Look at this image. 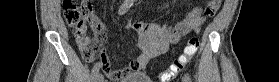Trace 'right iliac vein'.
<instances>
[{"label": "right iliac vein", "mask_w": 279, "mask_h": 82, "mask_svg": "<svg viewBox=\"0 0 279 82\" xmlns=\"http://www.w3.org/2000/svg\"><path fill=\"white\" fill-rule=\"evenodd\" d=\"M95 82H103V76L99 75Z\"/></svg>", "instance_id": "obj_1"}]
</instances>
